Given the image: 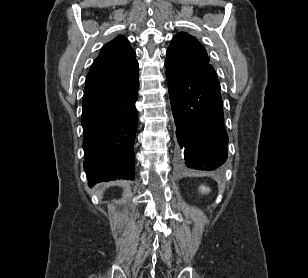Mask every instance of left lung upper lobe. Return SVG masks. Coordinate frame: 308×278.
Masks as SVG:
<instances>
[{
    "label": "left lung upper lobe",
    "mask_w": 308,
    "mask_h": 278,
    "mask_svg": "<svg viewBox=\"0 0 308 278\" xmlns=\"http://www.w3.org/2000/svg\"><path fill=\"white\" fill-rule=\"evenodd\" d=\"M205 64H209V56L194 36L180 32L173 37L167 49V68L189 70Z\"/></svg>",
    "instance_id": "5c2ea615"
}]
</instances>
